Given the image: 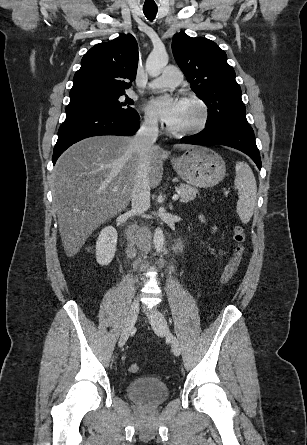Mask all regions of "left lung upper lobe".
I'll return each mask as SVG.
<instances>
[{"instance_id":"5c2ea615","label":"left lung upper lobe","mask_w":307,"mask_h":445,"mask_svg":"<svg viewBox=\"0 0 307 445\" xmlns=\"http://www.w3.org/2000/svg\"><path fill=\"white\" fill-rule=\"evenodd\" d=\"M172 51L192 90L209 109L205 128L225 123L249 125L234 69L215 42L180 32L173 37Z\"/></svg>"}]
</instances>
